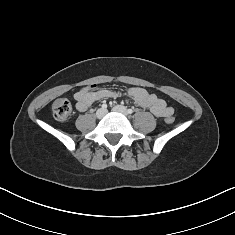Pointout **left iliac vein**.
Returning a JSON list of instances; mask_svg holds the SVG:
<instances>
[{"label":"left iliac vein","mask_w":235,"mask_h":235,"mask_svg":"<svg viewBox=\"0 0 235 235\" xmlns=\"http://www.w3.org/2000/svg\"><path fill=\"white\" fill-rule=\"evenodd\" d=\"M113 111L114 112H117V113H121V114H123V115H127L128 113H127V109L124 107V106H122V105H116V106H114L113 107Z\"/></svg>","instance_id":"obj_1"}]
</instances>
